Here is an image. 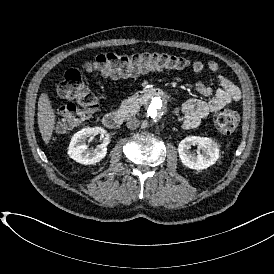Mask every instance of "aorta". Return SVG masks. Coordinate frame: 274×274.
I'll list each match as a JSON object with an SVG mask.
<instances>
[{
  "label": "aorta",
  "mask_w": 274,
  "mask_h": 274,
  "mask_svg": "<svg viewBox=\"0 0 274 274\" xmlns=\"http://www.w3.org/2000/svg\"><path fill=\"white\" fill-rule=\"evenodd\" d=\"M169 107L160 97L152 98L147 108V119L152 124L163 123L167 120Z\"/></svg>",
  "instance_id": "obj_1"
}]
</instances>
